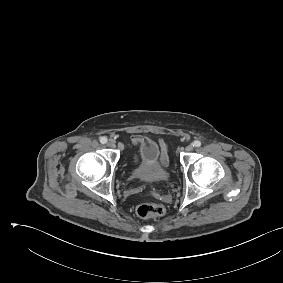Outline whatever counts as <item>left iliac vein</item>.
<instances>
[{
  "mask_svg": "<svg viewBox=\"0 0 283 283\" xmlns=\"http://www.w3.org/2000/svg\"><path fill=\"white\" fill-rule=\"evenodd\" d=\"M185 150H186L187 152H191V151L193 150V146H192V145H188V146L185 148Z\"/></svg>",
  "mask_w": 283,
  "mask_h": 283,
  "instance_id": "obj_1",
  "label": "left iliac vein"
}]
</instances>
